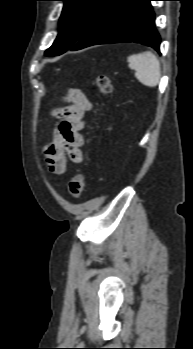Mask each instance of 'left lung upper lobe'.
I'll list each match as a JSON object with an SVG mask.
<instances>
[{"mask_svg":"<svg viewBox=\"0 0 193 349\" xmlns=\"http://www.w3.org/2000/svg\"><path fill=\"white\" fill-rule=\"evenodd\" d=\"M64 7L60 17V31L46 56H56L73 47L87 27L110 0H60Z\"/></svg>","mask_w":193,"mask_h":349,"instance_id":"left-lung-upper-lobe-1","label":"left lung upper lobe"}]
</instances>
